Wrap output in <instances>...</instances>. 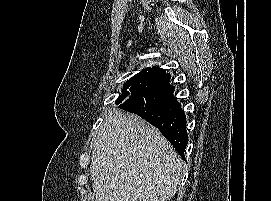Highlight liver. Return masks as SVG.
<instances>
[{
  "instance_id": "6515ba94",
  "label": "liver",
  "mask_w": 271,
  "mask_h": 201,
  "mask_svg": "<svg viewBox=\"0 0 271 201\" xmlns=\"http://www.w3.org/2000/svg\"><path fill=\"white\" fill-rule=\"evenodd\" d=\"M182 169L157 128L122 111L105 116L90 165L96 201H168L176 194Z\"/></svg>"
}]
</instances>
